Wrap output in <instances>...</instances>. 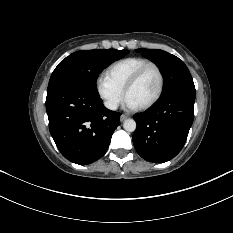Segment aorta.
<instances>
[{
    "mask_svg": "<svg viewBox=\"0 0 233 233\" xmlns=\"http://www.w3.org/2000/svg\"><path fill=\"white\" fill-rule=\"evenodd\" d=\"M137 124L133 119H126L123 123V128L128 132H134L136 130Z\"/></svg>",
    "mask_w": 233,
    "mask_h": 233,
    "instance_id": "1",
    "label": "aorta"
}]
</instances>
